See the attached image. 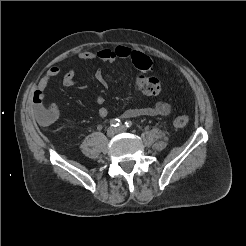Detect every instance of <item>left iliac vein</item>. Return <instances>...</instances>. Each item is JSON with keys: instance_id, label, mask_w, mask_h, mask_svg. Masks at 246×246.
Wrapping results in <instances>:
<instances>
[{"instance_id": "4c4485c4", "label": "left iliac vein", "mask_w": 246, "mask_h": 246, "mask_svg": "<svg viewBox=\"0 0 246 246\" xmlns=\"http://www.w3.org/2000/svg\"><path fill=\"white\" fill-rule=\"evenodd\" d=\"M126 128L124 126H120L119 128H117V132L121 133V132H125Z\"/></svg>"}]
</instances>
